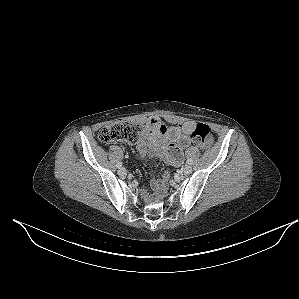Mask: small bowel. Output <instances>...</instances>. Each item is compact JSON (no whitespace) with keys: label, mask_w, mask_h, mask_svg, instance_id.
<instances>
[{"label":"small bowel","mask_w":299,"mask_h":299,"mask_svg":"<svg viewBox=\"0 0 299 299\" xmlns=\"http://www.w3.org/2000/svg\"><path fill=\"white\" fill-rule=\"evenodd\" d=\"M194 121H186L181 126L166 127L160 118L150 117L146 121L142 136L136 143L141 158H161L168 165L178 167L183 161V151L191 145ZM163 180H152L151 186L158 190Z\"/></svg>","instance_id":"obj_1"}]
</instances>
